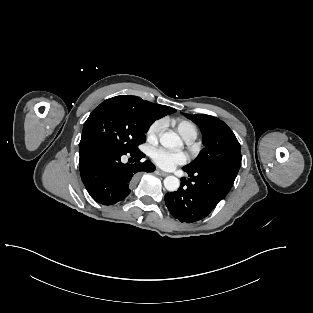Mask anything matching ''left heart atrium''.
Instances as JSON below:
<instances>
[{
	"mask_svg": "<svg viewBox=\"0 0 313 313\" xmlns=\"http://www.w3.org/2000/svg\"><path fill=\"white\" fill-rule=\"evenodd\" d=\"M151 158L157 166L165 170H171L177 165L186 163L188 160L184 152L165 148H154L151 151Z\"/></svg>",
	"mask_w": 313,
	"mask_h": 313,
	"instance_id": "39dd6f15",
	"label": "left heart atrium"
}]
</instances>
